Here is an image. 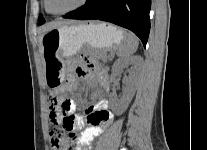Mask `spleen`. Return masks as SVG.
I'll return each instance as SVG.
<instances>
[{"label": "spleen", "instance_id": "obj_1", "mask_svg": "<svg viewBox=\"0 0 207 150\" xmlns=\"http://www.w3.org/2000/svg\"><path fill=\"white\" fill-rule=\"evenodd\" d=\"M138 38L131 32L125 33V41L117 48L119 57L127 58L138 49Z\"/></svg>", "mask_w": 207, "mask_h": 150}]
</instances>
